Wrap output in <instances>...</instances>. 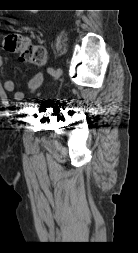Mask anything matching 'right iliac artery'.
Here are the masks:
<instances>
[{
	"label": "right iliac artery",
	"mask_w": 138,
	"mask_h": 253,
	"mask_svg": "<svg viewBox=\"0 0 138 253\" xmlns=\"http://www.w3.org/2000/svg\"><path fill=\"white\" fill-rule=\"evenodd\" d=\"M55 72L56 71L52 67L47 68V74L48 75H52L53 76L55 74Z\"/></svg>",
	"instance_id": "obj_1"
}]
</instances>
